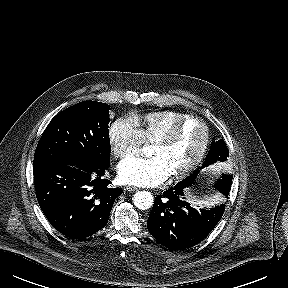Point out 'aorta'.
<instances>
[{"label":"aorta","mask_w":288,"mask_h":288,"mask_svg":"<svg viewBox=\"0 0 288 288\" xmlns=\"http://www.w3.org/2000/svg\"><path fill=\"white\" fill-rule=\"evenodd\" d=\"M153 202L154 198L148 191H138L133 196V204L140 210L149 209Z\"/></svg>","instance_id":"obj_1"}]
</instances>
